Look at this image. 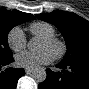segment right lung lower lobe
<instances>
[{"instance_id":"1","label":"right lung lower lobe","mask_w":89,"mask_h":89,"mask_svg":"<svg viewBox=\"0 0 89 89\" xmlns=\"http://www.w3.org/2000/svg\"><path fill=\"white\" fill-rule=\"evenodd\" d=\"M13 56L0 59V68L13 62ZM25 74L24 69L7 68L0 73V88L15 89L18 79Z\"/></svg>"}]
</instances>
